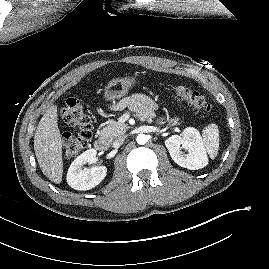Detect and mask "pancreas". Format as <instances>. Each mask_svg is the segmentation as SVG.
<instances>
[{
    "label": "pancreas",
    "mask_w": 269,
    "mask_h": 269,
    "mask_svg": "<svg viewBox=\"0 0 269 269\" xmlns=\"http://www.w3.org/2000/svg\"><path fill=\"white\" fill-rule=\"evenodd\" d=\"M179 118L178 117H174L172 119H169V123L170 125H178L179 124ZM157 123L159 125H162L163 122L157 121ZM129 127L121 122H110L106 127H104L101 131V138L102 139H107L108 141H112L114 138L116 137H120L122 136L128 129Z\"/></svg>",
    "instance_id": "1"
}]
</instances>
